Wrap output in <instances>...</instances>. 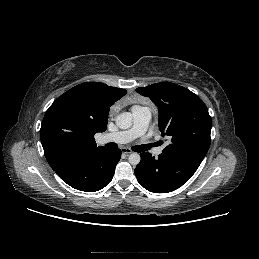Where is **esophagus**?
<instances>
[{
	"label": "esophagus",
	"instance_id": "34e87169",
	"mask_svg": "<svg viewBox=\"0 0 259 259\" xmlns=\"http://www.w3.org/2000/svg\"><path fill=\"white\" fill-rule=\"evenodd\" d=\"M121 151L123 154H126V155H129L132 153V150L128 148H122Z\"/></svg>",
	"mask_w": 259,
	"mask_h": 259
}]
</instances>
